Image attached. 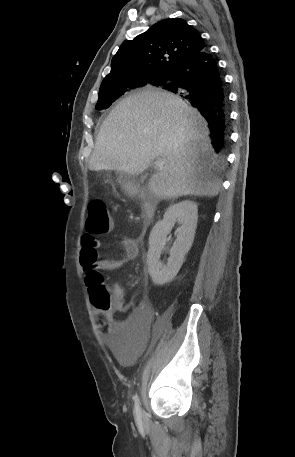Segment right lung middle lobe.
Masks as SVG:
<instances>
[{"label": "right lung middle lobe", "instance_id": "1", "mask_svg": "<svg viewBox=\"0 0 295 457\" xmlns=\"http://www.w3.org/2000/svg\"><path fill=\"white\" fill-rule=\"evenodd\" d=\"M173 76H165V77H157V78H151L145 82L137 84V86L131 88L134 89L139 86H144V85H153L157 87H162L163 89H166L172 82ZM131 89H107L99 92V99L98 102L95 106L97 110H102L108 108L115 100H117L120 96L125 94Z\"/></svg>", "mask_w": 295, "mask_h": 457}]
</instances>
